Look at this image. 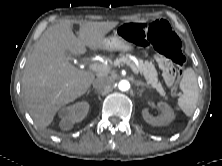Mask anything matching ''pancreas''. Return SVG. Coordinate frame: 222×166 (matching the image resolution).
Wrapping results in <instances>:
<instances>
[{
	"label": "pancreas",
	"mask_w": 222,
	"mask_h": 166,
	"mask_svg": "<svg viewBox=\"0 0 222 166\" xmlns=\"http://www.w3.org/2000/svg\"><path fill=\"white\" fill-rule=\"evenodd\" d=\"M118 63L121 65L128 64L135 66L138 69V71L141 74H143V76L147 81V84L155 88L161 96L166 98V92L162 87L160 81L158 80V73L152 62L148 61L143 62V60H139L138 65L136 66L135 63L131 59H129L128 55H126V56H121L118 59Z\"/></svg>",
	"instance_id": "pancreas-1"
}]
</instances>
